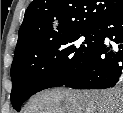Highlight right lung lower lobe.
<instances>
[{
	"mask_svg": "<svg viewBox=\"0 0 123 113\" xmlns=\"http://www.w3.org/2000/svg\"><path fill=\"white\" fill-rule=\"evenodd\" d=\"M101 41L78 76L64 84L76 89H105L114 87L123 69V4L106 15L96 26ZM105 37L116 43L105 44Z\"/></svg>",
	"mask_w": 123,
	"mask_h": 113,
	"instance_id": "right-lung-lower-lobe-1",
	"label": "right lung lower lobe"
}]
</instances>
